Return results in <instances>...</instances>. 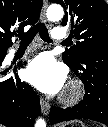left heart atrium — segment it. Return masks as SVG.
<instances>
[{"label": "left heart atrium", "mask_w": 108, "mask_h": 127, "mask_svg": "<svg viewBox=\"0 0 108 127\" xmlns=\"http://www.w3.org/2000/svg\"><path fill=\"white\" fill-rule=\"evenodd\" d=\"M28 82L42 92L54 94L65 85L66 69L49 53H42L31 60L26 68Z\"/></svg>", "instance_id": "39dd6f15"}]
</instances>
